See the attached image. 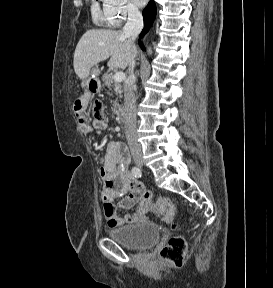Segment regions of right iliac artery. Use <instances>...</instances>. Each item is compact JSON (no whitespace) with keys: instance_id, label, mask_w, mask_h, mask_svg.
<instances>
[{"instance_id":"obj_1","label":"right iliac artery","mask_w":273,"mask_h":288,"mask_svg":"<svg viewBox=\"0 0 273 288\" xmlns=\"http://www.w3.org/2000/svg\"><path fill=\"white\" fill-rule=\"evenodd\" d=\"M132 174L136 178H140L142 176V172H141L140 168H138V167H133L132 168Z\"/></svg>"}]
</instances>
